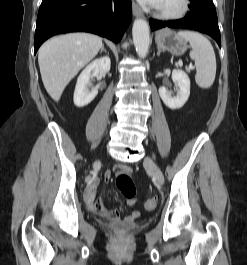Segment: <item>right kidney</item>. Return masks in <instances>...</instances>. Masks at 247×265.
Segmentation results:
<instances>
[{
  "label": "right kidney",
  "mask_w": 247,
  "mask_h": 265,
  "mask_svg": "<svg viewBox=\"0 0 247 265\" xmlns=\"http://www.w3.org/2000/svg\"><path fill=\"white\" fill-rule=\"evenodd\" d=\"M111 61L108 56L92 61L79 75L74 91V104L77 107L88 105L98 94V87L91 88L90 80L99 73L110 71Z\"/></svg>",
  "instance_id": "obj_1"
}]
</instances>
